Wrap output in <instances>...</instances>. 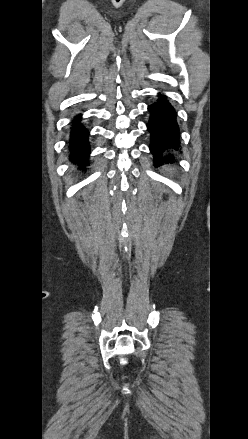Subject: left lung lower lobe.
<instances>
[{
  "mask_svg": "<svg viewBox=\"0 0 248 439\" xmlns=\"http://www.w3.org/2000/svg\"><path fill=\"white\" fill-rule=\"evenodd\" d=\"M150 119L147 129L150 132V151L154 163L159 164L163 159H173L170 152L180 148V132L174 107L165 95L159 93L156 102L148 106Z\"/></svg>",
  "mask_w": 248,
  "mask_h": 439,
  "instance_id": "obj_1",
  "label": "left lung lower lobe"
}]
</instances>
